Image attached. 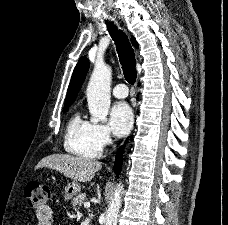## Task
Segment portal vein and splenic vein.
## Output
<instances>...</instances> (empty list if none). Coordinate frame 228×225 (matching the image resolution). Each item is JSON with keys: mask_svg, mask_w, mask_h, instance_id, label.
Here are the masks:
<instances>
[{"mask_svg": "<svg viewBox=\"0 0 228 225\" xmlns=\"http://www.w3.org/2000/svg\"><path fill=\"white\" fill-rule=\"evenodd\" d=\"M84 207H90V203H84Z\"/></svg>", "mask_w": 228, "mask_h": 225, "instance_id": "18ae733b", "label": "portal vein and splenic vein"}]
</instances>
